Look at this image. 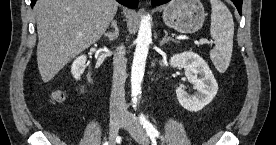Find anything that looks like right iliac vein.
I'll return each mask as SVG.
<instances>
[{
	"instance_id": "obj_1",
	"label": "right iliac vein",
	"mask_w": 276,
	"mask_h": 145,
	"mask_svg": "<svg viewBox=\"0 0 276 145\" xmlns=\"http://www.w3.org/2000/svg\"><path fill=\"white\" fill-rule=\"evenodd\" d=\"M124 118L121 115H112L110 117V145H113L115 142V139L118 135L120 125L122 124Z\"/></svg>"
}]
</instances>
